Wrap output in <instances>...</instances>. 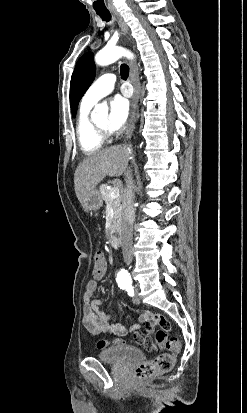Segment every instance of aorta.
<instances>
[{
  "mask_svg": "<svg viewBox=\"0 0 247 413\" xmlns=\"http://www.w3.org/2000/svg\"><path fill=\"white\" fill-rule=\"evenodd\" d=\"M122 56L132 58L133 54L122 47H105L96 54L95 62L100 66H105L115 62ZM103 111H107V108L105 106L96 105L93 113H99Z\"/></svg>",
  "mask_w": 247,
  "mask_h": 413,
  "instance_id": "obj_1",
  "label": "aorta"
}]
</instances>
